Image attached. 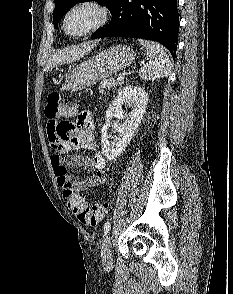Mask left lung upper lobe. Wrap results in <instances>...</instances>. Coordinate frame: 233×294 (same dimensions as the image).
Segmentation results:
<instances>
[{
    "label": "left lung upper lobe",
    "instance_id": "1",
    "mask_svg": "<svg viewBox=\"0 0 233 294\" xmlns=\"http://www.w3.org/2000/svg\"><path fill=\"white\" fill-rule=\"evenodd\" d=\"M91 0H54L55 2V9L53 14V22L54 26L58 25V22L66 14L74 5ZM100 4L105 5L111 12L114 9L116 2L118 0H93Z\"/></svg>",
    "mask_w": 233,
    "mask_h": 294
}]
</instances>
